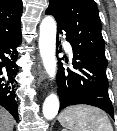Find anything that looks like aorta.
Instances as JSON below:
<instances>
[{"label": "aorta", "mask_w": 117, "mask_h": 131, "mask_svg": "<svg viewBox=\"0 0 117 131\" xmlns=\"http://www.w3.org/2000/svg\"><path fill=\"white\" fill-rule=\"evenodd\" d=\"M56 22L52 16H46L40 24L39 49L43 66L48 76H56ZM59 110V98L56 94L48 95L43 103V115L46 119H53Z\"/></svg>", "instance_id": "obj_1"}]
</instances>
